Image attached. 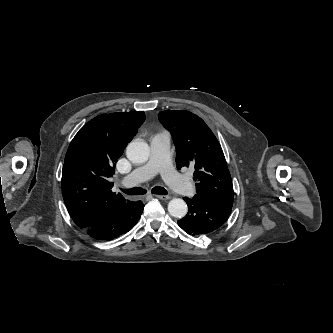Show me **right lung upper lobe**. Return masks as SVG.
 <instances>
[{
	"label": "right lung upper lobe",
	"instance_id": "1",
	"mask_svg": "<svg viewBox=\"0 0 333 333\" xmlns=\"http://www.w3.org/2000/svg\"><path fill=\"white\" fill-rule=\"evenodd\" d=\"M144 120L142 111L99 115L71 141L62 171V195L80 228L93 227L129 207L130 201L112 192L109 178Z\"/></svg>",
	"mask_w": 333,
	"mask_h": 333
}]
</instances>
